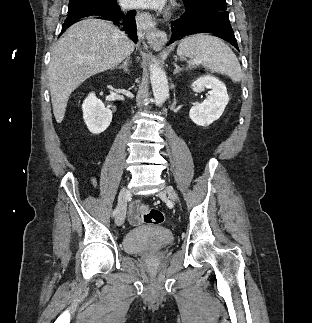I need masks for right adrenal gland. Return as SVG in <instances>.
<instances>
[{
    "mask_svg": "<svg viewBox=\"0 0 312 323\" xmlns=\"http://www.w3.org/2000/svg\"><path fill=\"white\" fill-rule=\"evenodd\" d=\"M128 66H129V58H127V60H125L124 64H122V66H119L118 70H124V72H126V74H129Z\"/></svg>",
    "mask_w": 312,
    "mask_h": 323,
    "instance_id": "1",
    "label": "right adrenal gland"
}]
</instances>
